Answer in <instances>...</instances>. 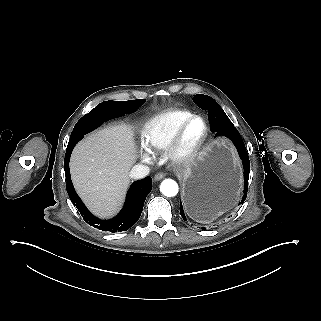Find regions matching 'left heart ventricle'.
<instances>
[{
    "instance_id": "1",
    "label": "left heart ventricle",
    "mask_w": 321,
    "mask_h": 321,
    "mask_svg": "<svg viewBox=\"0 0 321 321\" xmlns=\"http://www.w3.org/2000/svg\"><path fill=\"white\" fill-rule=\"evenodd\" d=\"M203 131L202 122L200 120L193 121L183 133V144L185 146H192L200 138Z\"/></svg>"
}]
</instances>
